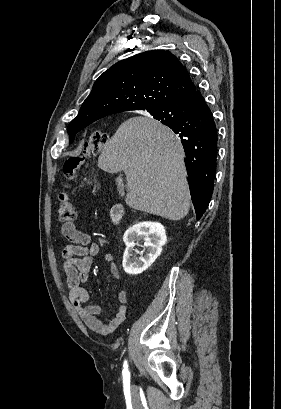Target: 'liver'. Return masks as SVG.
Returning <instances> with one entry per match:
<instances>
[{
  "instance_id": "6515ba94",
  "label": "liver",
  "mask_w": 281,
  "mask_h": 409,
  "mask_svg": "<svg viewBox=\"0 0 281 409\" xmlns=\"http://www.w3.org/2000/svg\"><path fill=\"white\" fill-rule=\"evenodd\" d=\"M183 156L171 128L150 116H132L104 144L97 164L106 172L124 170L128 207L181 221L191 200Z\"/></svg>"
}]
</instances>
